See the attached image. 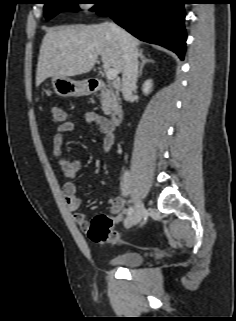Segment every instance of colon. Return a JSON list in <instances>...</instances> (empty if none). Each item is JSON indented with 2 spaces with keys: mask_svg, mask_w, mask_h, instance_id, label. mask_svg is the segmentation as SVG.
I'll return each mask as SVG.
<instances>
[{
  "mask_svg": "<svg viewBox=\"0 0 236 321\" xmlns=\"http://www.w3.org/2000/svg\"><path fill=\"white\" fill-rule=\"evenodd\" d=\"M51 113L55 125L65 123L66 112L63 108L54 106ZM115 222V217L110 215L100 214L95 216L86 228L88 237L95 243L119 244V232L113 228Z\"/></svg>",
  "mask_w": 236,
  "mask_h": 321,
  "instance_id": "5ec220e1",
  "label": "colon"
}]
</instances>
